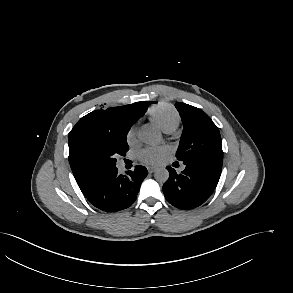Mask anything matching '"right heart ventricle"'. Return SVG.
I'll list each match as a JSON object with an SVG mask.
<instances>
[{"label":"right heart ventricle","mask_w":293,"mask_h":293,"mask_svg":"<svg viewBox=\"0 0 293 293\" xmlns=\"http://www.w3.org/2000/svg\"><path fill=\"white\" fill-rule=\"evenodd\" d=\"M151 119L164 132H172L178 128L181 117L177 110L168 103H160L149 110Z\"/></svg>","instance_id":"1"}]
</instances>
